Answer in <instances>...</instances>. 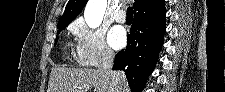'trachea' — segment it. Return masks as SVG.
I'll list each match as a JSON object with an SVG mask.
<instances>
[{
    "instance_id": "1",
    "label": "trachea",
    "mask_w": 225,
    "mask_h": 92,
    "mask_svg": "<svg viewBox=\"0 0 225 92\" xmlns=\"http://www.w3.org/2000/svg\"><path fill=\"white\" fill-rule=\"evenodd\" d=\"M127 18H130V19L133 18V8L132 7L127 8Z\"/></svg>"
}]
</instances>
